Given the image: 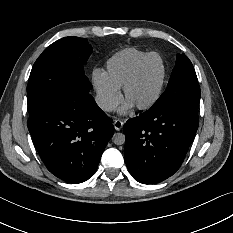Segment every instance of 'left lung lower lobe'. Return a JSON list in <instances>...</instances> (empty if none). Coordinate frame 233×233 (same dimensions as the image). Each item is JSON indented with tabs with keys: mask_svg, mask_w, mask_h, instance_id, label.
I'll use <instances>...</instances> for the list:
<instances>
[{
	"mask_svg": "<svg viewBox=\"0 0 233 233\" xmlns=\"http://www.w3.org/2000/svg\"><path fill=\"white\" fill-rule=\"evenodd\" d=\"M199 125L198 109H149L123 126L124 157L131 175L140 183L155 184L181 166Z\"/></svg>",
	"mask_w": 233,
	"mask_h": 233,
	"instance_id": "left-lung-lower-lobe-1",
	"label": "left lung lower lobe"
}]
</instances>
